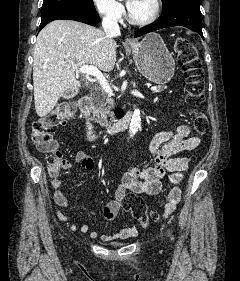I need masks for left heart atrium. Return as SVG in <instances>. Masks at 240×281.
I'll use <instances>...</instances> for the list:
<instances>
[{"instance_id":"39dd6f15","label":"left heart atrium","mask_w":240,"mask_h":281,"mask_svg":"<svg viewBox=\"0 0 240 281\" xmlns=\"http://www.w3.org/2000/svg\"><path fill=\"white\" fill-rule=\"evenodd\" d=\"M134 1H135V0H128L127 6H128V8H129V10H130V8L133 6Z\"/></svg>"}]
</instances>
